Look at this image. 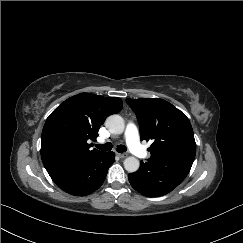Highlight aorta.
I'll use <instances>...</instances> for the list:
<instances>
[{"instance_id": "762f6f07", "label": "aorta", "mask_w": 243, "mask_h": 243, "mask_svg": "<svg viewBox=\"0 0 243 243\" xmlns=\"http://www.w3.org/2000/svg\"><path fill=\"white\" fill-rule=\"evenodd\" d=\"M105 126L111 133L121 134L125 128L124 119L117 114L110 115L105 121ZM123 164L129 173L136 172L140 166L139 160L133 156L127 157Z\"/></svg>"}]
</instances>
